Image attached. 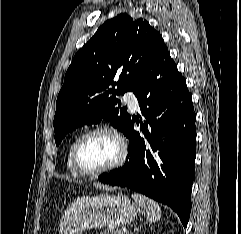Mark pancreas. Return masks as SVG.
I'll use <instances>...</instances> for the list:
<instances>
[{"instance_id": "cf45deb5", "label": "pancreas", "mask_w": 241, "mask_h": 234, "mask_svg": "<svg viewBox=\"0 0 241 234\" xmlns=\"http://www.w3.org/2000/svg\"><path fill=\"white\" fill-rule=\"evenodd\" d=\"M100 234H123L121 229L118 228H111L101 231Z\"/></svg>"}]
</instances>
